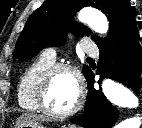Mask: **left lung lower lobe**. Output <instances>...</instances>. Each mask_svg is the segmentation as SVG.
<instances>
[{
  "mask_svg": "<svg viewBox=\"0 0 142 128\" xmlns=\"http://www.w3.org/2000/svg\"><path fill=\"white\" fill-rule=\"evenodd\" d=\"M100 59L96 73L123 83L139 93L142 70V48L136 22L127 30L99 46ZM94 73L86 75L89 96L83 115L71 120L84 128H112L119 116L118 110L103 95L101 89L94 88Z\"/></svg>",
  "mask_w": 142,
  "mask_h": 128,
  "instance_id": "1",
  "label": "left lung lower lobe"
}]
</instances>
